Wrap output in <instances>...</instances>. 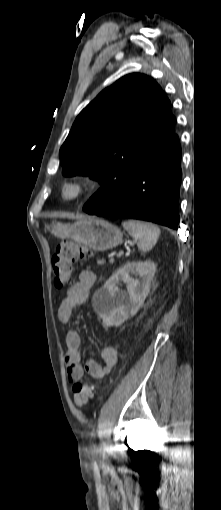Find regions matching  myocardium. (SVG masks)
<instances>
[{
  "instance_id": "f54148a6",
  "label": "myocardium",
  "mask_w": 221,
  "mask_h": 510,
  "mask_svg": "<svg viewBox=\"0 0 221 510\" xmlns=\"http://www.w3.org/2000/svg\"><path fill=\"white\" fill-rule=\"evenodd\" d=\"M94 180L89 175H73L62 183L61 198L69 203H74L85 198L93 189Z\"/></svg>"
}]
</instances>
